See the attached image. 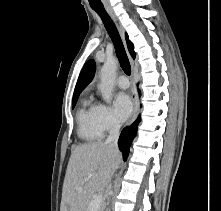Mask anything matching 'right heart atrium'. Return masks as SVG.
Here are the masks:
<instances>
[{"label": "right heart atrium", "instance_id": "1", "mask_svg": "<svg viewBox=\"0 0 221 211\" xmlns=\"http://www.w3.org/2000/svg\"><path fill=\"white\" fill-rule=\"evenodd\" d=\"M95 123L99 132L104 135L119 128V121L110 107L105 104L95 105Z\"/></svg>", "mask_w": 221, "mask_h": 211}]
</instances>
